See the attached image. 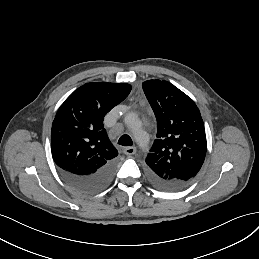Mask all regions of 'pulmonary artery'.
<instances>
[{"label": "pulmonary artery", "instance_id": "obj_1", "mask_svg": "<svg viewBox=\"0 0 259 259\" xmlns=\"http://www.w3.org/2000/svg\"><path fill=\"white\" fill-rule=\"evenodd\" d=\"M127 127H128V131H129L130 135L134 139H138L140 137V134L137 133L136 127L133 126L130 121H128ZM143 135L146 136V134H143Z\"/></svg>", "mask_w": 259, "mask_h": 259}]
</instances>
